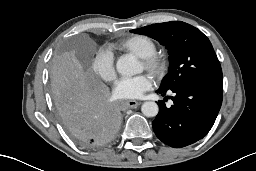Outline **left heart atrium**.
Returning <instances> with one entry per match:
<instances>
[{
    "instance_id": "obj_1",
    "label": "left heart atrium",
    "mask_w": 256,
    "mask_h": 171,
    "mask_svg": "<svg viewBox=\"0 0 256 171\" xmlns=\"http://www.w3.org/2000/svg\"><path fill=\"white\" fill-rule=\"evenodd\" d=\"M152 87V80L147 75L123 77L119 79L113 89L118 99H137Z\"/></svg>"
}]
</instances>
